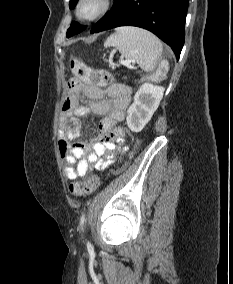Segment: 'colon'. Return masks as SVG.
Returning a JSON list of instances; mask_svg holds the SVG:
<instances>
[{
    "label": "colon",
    "instance_id": "colon-1",
    "mask_svg": "<svg viewBox=\"0 0 233 284\" xmlns=\"http://www.w3.org/2000/svg\"><path fill=\"white\" fill-rule=\"evenodd\" d=\"M70 64L74 75L89 84L107 86L113 80L111 73L107 70L92 69L78 58L73 57ZM168 71L169 63L167 60H163L154 73L153 81L156 83L162 81L167 76ZM99 184L100 181L97 176L85 175L80 181L70 184L69 191L76 196L87 195L96 191Z\"/></svg>",
    "mask_w": 233,
    "mask_h": 284
}]
</instances>
